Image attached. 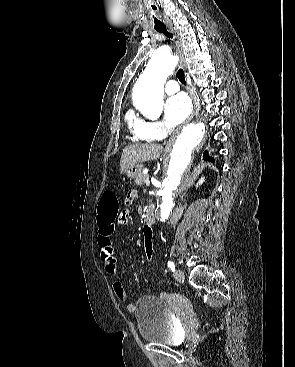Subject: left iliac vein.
I'll return each mask as SVG.
<instances>
[{"label":"left iliac vein","instance_id":"1","mask_svg":"<svg viewBox=\"0 0 295 367\" xmlns=\"http://www.w3.org/2000/svg\"><path fill=\"white\" fill-rule=\"evenodd\" d=\"M184 273L182 270H176L175 273H174V278L179 281V282H182L184 281Z\"/></svg>","mask_w":295,"mask_h":367}]
</instances>
